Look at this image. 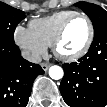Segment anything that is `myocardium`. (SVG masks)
Wrapping results in <instances>:
<instances>
[{"label":"myocardium","instance_id":"obj_1","mask_svg":"<svg viewBox=\"0 0 107 107\" xmlns=\"http://www.w3.org/2000/svg\"><path fill=\"white\" fill-rule=\"evenodd\" d=\"M76 18H83L87 22L88 27H89V35L82 49H80L78 52L74 54L66 55L59 51V45L64 38L67 27L69 26L71 21H73ZM93 40H94V26H93L91 19L86 14L75 13L69 18H67L64 21V23L61 25V27L59 28L52 43V50L55 56L59 58L60 60L65 61V62H74L82 58L88 52V50L90 49L93 43Z\"/></svg>","mask_w":107,"mask_h":107}]
</instances>
